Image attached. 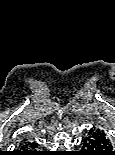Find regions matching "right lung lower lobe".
<instances>
[{
    "mask_svg": "<svg viewBox=\"0 0 115 155\" xmlns=\"http://www.w3.org/2000/svg\"><path fill=\"white\" fill-rule=\"evenodd\" d=\"M37 147H38V144L35 143V142H33V143L25 142L23 144L24 150H23V153L22 154L23 155H42L41 152H39V151L36 150Z\"/></svg>",
    "mask_w": 115,
    "mask_h": 155,
    "instance_id": "1",
    "label": "right lung lower lobe"
}]
</instances>
